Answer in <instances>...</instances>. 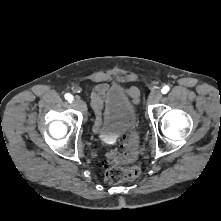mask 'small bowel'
<instances>
[{
    "label": "small bowel",
    "mask_w": 221,
    "mask_h": 221,
    "mask_svg": "<svg viewBox=\"0 0 221 221\" xmlns=\"http://www.w3.org/2000/svg\"><path fill=\"white\" fill-rule=\"evenodd\" d=\"M108 90V85L105 83H101L94 87L90 92V103L92 108L96 114V121H95V131L99 128L102 122V111H103V104H104V96ZM130 94L132 97L136 98L138 96V91L136 88H132L130 90Z\"/></svg>",
    "instance_id": "c3829d8e"
}]
</instances>
